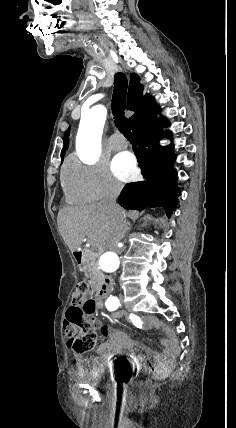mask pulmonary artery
Here are the masks:
<instances>
[{
	"mask_svg": "<svg viewBox=\"0 0 236 428\" xmlns=\"http://www.w3.org/2000/svg\"><path fill=\"white\" fill-rule=\"evenodd\" d=\"M112 149L116 150V151H120V150H124L128 147L127 142H123V143H115L111 145Z\"/></svg>",
	"mask_w": 236,
	"mask_h": 428,
	"instance_id": "obj_1",
	"label": "pulmonary artery"
}]
</instances>
